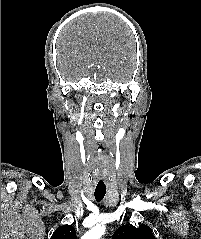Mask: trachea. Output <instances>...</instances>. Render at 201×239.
<instances>
[{"mask_svg": "<svg viewBox=\"0 0 201 239\" xmlns=\"http://www.w3.org/2000/svg\"><path fill=\"white\" fill-rule=\"evenodd\" d=\"M106 194V187L105 186H97L95 189V199L100 202L103 200L104 196Z\"/></svg>", "mask_w": 201, "mask_h": 239, "instance_id": "3493384b", "label": "trachea"}]
</instances>
